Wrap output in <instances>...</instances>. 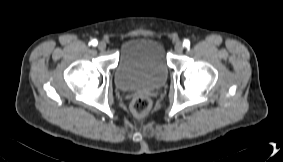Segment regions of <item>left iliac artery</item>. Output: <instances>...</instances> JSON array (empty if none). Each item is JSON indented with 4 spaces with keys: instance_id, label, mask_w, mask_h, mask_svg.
Wrapping results in <instances>:
<instances>
[{
    "instance_id": "obj_1",
    "label": "left iliac artery",
    "mask_w": 283,
    "mask_h": 162,
    "mask_svg": "<svg viewBox=\"0 0 283 162\" xmlns=\"http://www.w3.org/2000/svg\"><path fill=\"white\" fill-rule=\"evenodd\" d=\"M183 45H184L185 47H189V46H190V41H189L188 39H185V40L183 41Z\"/></svg>"
}]
</instances>
